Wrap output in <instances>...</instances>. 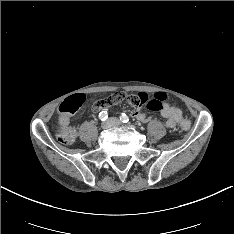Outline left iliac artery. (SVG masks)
Instances as JSON below:
<instances>
[{
    "label": "left iliac artery",
    "mask_w": 234,
    "mask_h": 234,
    "mask_svg": "<svg viewBox=\"0 0 234 234\" xmlns=\"http://www.w3.org/2000/svg\"><path fill=\"white\" fill-rule=\"evenodd\" d=\"M120 120L123 122V123H127L129 121V117L122 113L121 116H120Z\"/></svg>",
    "instance_id": "obj_1"
}]
</instances>
